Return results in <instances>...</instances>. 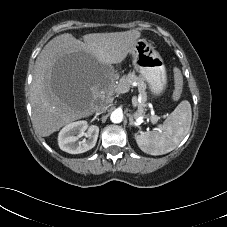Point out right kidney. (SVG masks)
I'll use <instances>...</instances> for the list:
<instances>
[{
  "instance_id": "obj_1",
  "label": "right kidney",
  "mask_w": 227,
  "mask_h": 227,
  "mask_svg": "<svg viewBox=\"0 0 227 227\" xmlns=\"http://www.w3.org/2000/svg\"><path fill=\"white\" fill-rule=\"evenodd\" d=\"M98 134L99 127L96 125L88 126L84 120L73 122L59 132L58 145L61 150L70 154L84 153L95 146ZM81 135H85L87 139L77 142Z\"/></svg>"
}]
</instances>
